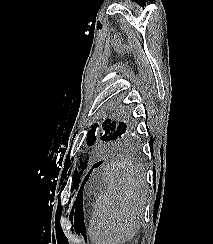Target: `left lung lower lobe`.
I'll return each instance as SVG.
<instances>
[{
    "label": "left lung lower lobe",
    "mask_w": 213,
    "mask_h": 244,
    "mask_svg": "<svg viewBox=\"0 0 213 244\" xmlns=\"http://www.w3.org/2000/svg\"><path fill=\"white\" fill-rule=\"evenodd\" d=\"M101 163H102V161H100V162L96 163L95 165H93V167L91 168V170L89 171V173H88V174L85 176V178L83 179L81 188H82L83 185L87 182V180H88V178H89V175H90L91 171H92L94 168L98 167Z\"/></svg>",
    "instance_id": "0a47b994"
}]
</instances>
